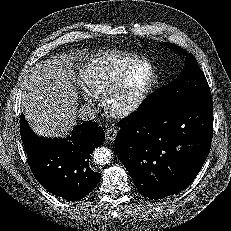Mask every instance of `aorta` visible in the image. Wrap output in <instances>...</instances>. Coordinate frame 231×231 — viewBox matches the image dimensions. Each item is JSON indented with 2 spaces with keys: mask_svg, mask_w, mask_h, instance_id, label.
I'll return each mask as SVG.
<instances>
[{
  "mask_svg": "<svg viewBox=\"0 0 231 231\" xmlns=\"http://www.w3.org/2000/svg\"><path fill=\"white\" fill-rule=\"evenodd\" d=\"M112 158V152L105 147L96 148L93 152L94 162L99 165H105L110 162Z\"/></svg>",
  "mask_w": 231,
  "mask_h": 231,
  "instance_id": "762f6f07",
  "label": "aorta"
}]
</instances>
